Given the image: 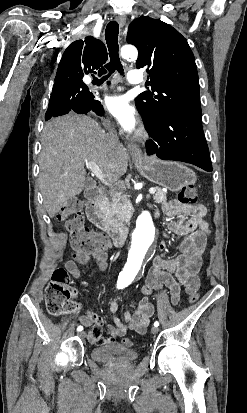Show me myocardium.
<instances>
[{"label": "myocardium", "mask_w": 247, "mask_h": 413, "mask_svg": "<svg viewBox=\"0 0 247 413\" xmlns=\"http://www.w3.org/2000/svg\"><path fill=\"white\" fill-rule=\"evenodd\" d=\"M149 137V131L143 127L139 130V132L137 133V139L140 141H144L147 140Z\"/></svg>", "instance_id": "myocardium-1"}]
</instances>
